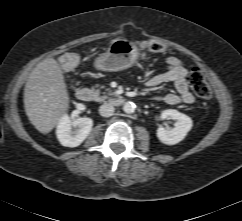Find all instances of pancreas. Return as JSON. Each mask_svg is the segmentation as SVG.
I'll return each instance as SVG.
<instances>
[{
	"mask_svg": "<svg viewBox=\"0 0 242 221\" xmlns=\"http://www.w3.org/2000/svg\"><path fill=\"white\" fill-rule=\"evenodd\" d=\"M95 93H96V95H97V101H104V100H106L108 97L106 96V95H103V96H98L99 95V90H96L95 91ZM109 95H113L114 93H112V92H109L108 93Z\"/></svg>",
	"mask_w": 242,
	"mask_h": 221,
	"instance_id": "cf45deb5",
	"label": "pancreas"
}]
</instances>
